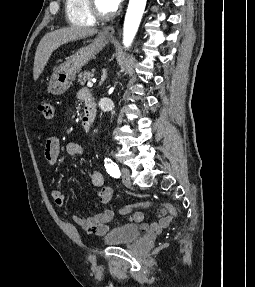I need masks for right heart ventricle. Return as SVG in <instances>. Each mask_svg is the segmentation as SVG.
Returning a JSON list of instances; mask_svg holds the SVG:
<instances>
[{
    "mask_svg": "<svg viewBox=\"0 0 255 287\" xmlns=\"http://www.w3.org/2000/svg\"><path fill=\"white\" fill-rule=\"evenodd\" d=\"M79 33H88V32H79ZM88 39H96V38H88Z\"/></svg>",
    "mask_w": 255,
    "mask_h": 287,
    "instance_id": "right-heart-ventricle-1",
    "label": "right heart ventricle"
}]
</instances>
